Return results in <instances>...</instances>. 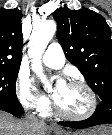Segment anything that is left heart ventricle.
<instances>
[{"label":"left heart ventricle","mask_w":112,"mask_h":135,"mask_svg":"<svg viewBox=\"0 0 112 135\" xmlns=\"http://www.w3.org/2000/svg\"><path fill=\"white\" fill-rule=\"evenodd\" d=\"M52 93L57 104L66 112L81 114L88 109L89 100L87 93L80 86L66 84L60 91H57V86H54Z\"/></svg>","instance_id":"b2bd125f"}]
</instances>
